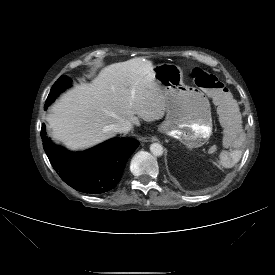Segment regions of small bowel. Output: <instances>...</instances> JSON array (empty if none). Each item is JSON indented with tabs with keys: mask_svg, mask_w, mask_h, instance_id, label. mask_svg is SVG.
<instances>
[{
	"mask_svg": "<svg viewBox=\"0 0 275 275\" xmlns=\"http://www.w3.org/2000/svg\"><path fill=\"white\" fill-rule=\"evenodd\" d=\"M220 120L223 124L225 144L227 146L225 152L221 153L218 160L220 167L228 169L238 163L241 158V146L245 135L241 131V115L237 103L233 99L219 104L217 108Z\"/></svg>",
	"mask_w": 275,
	"mask_h": 275,
	"instance_id": "obj_1",
	"label": "small bowel"
}]
</instances>
